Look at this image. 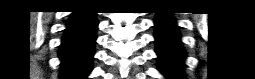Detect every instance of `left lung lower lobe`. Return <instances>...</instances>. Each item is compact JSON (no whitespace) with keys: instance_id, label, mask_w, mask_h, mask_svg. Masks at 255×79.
Segmentation results:
<instances>
[{"instance_id":"1","label":"left lung lower lobe","mask_w":255,"mask_h":79,"mask_svg":"<svg viewBox=\"0 0 255 79\" xmlns=\"http://www.w3.org/2000/svg\"><path fill=\"white\" fill-rule=\"evenodd\" d=\"M155 27L160 71L169 79H178L181 77L185 53L180 45L175 20L168 13H160L155 19Z\"/></svg>"}]
</instances>
